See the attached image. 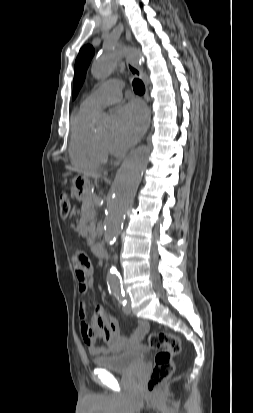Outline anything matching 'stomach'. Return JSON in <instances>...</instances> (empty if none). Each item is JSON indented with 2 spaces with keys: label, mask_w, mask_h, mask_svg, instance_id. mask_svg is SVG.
<instances>
[{
  "label": "stomach",
  "mask_w": 253,
  "mask_h": 413,
  "mask_svg": "<svg viewBox=\"0 0 253 413\" xmlns=\"http://www.w3.org/2000/svg\"><path fill=\"white\" fill-rule=\"evenodd\" d=\"M90 182L84 176H76L72 180V193L73 196L81 201L90 195Z\"/></svg>",
  "instance_id": "1"
}]
</instances>
